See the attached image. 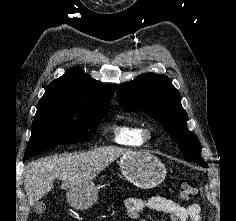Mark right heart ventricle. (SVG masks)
Listing matches in <instances>:
<instances>
[{
	"mask_svg": "<svg viewBox=\"0 0 236 221\" xmlns=\"http://www.w3.org/2000/svg\"><path fill=\"white\" fill-rule=\"evenodd\" d=\"M144 127L136 122H122L113 127L114 142L127 147H140L145 142Z\"/></svg>",
	"mask_w": 236,
	"mask_h": 221,
	"instance_id": "e07e8e85",
	"label": "right heart ventricle"
}]
</instances>
